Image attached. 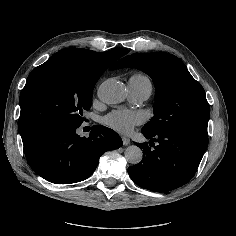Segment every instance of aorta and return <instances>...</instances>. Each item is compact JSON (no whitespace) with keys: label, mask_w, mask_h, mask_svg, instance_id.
<instances>
[{"label":"aorta","mask_w":236,"mask_h":236,"mask_svg":"<svg viewBox=\"0 0 236 236\" xmlns=\"http://www.w3.org/2000/svg\"><path fill=\"white\" fill-rule=\"evenodd\" d=\"M97 94L102 102L116 104L123 100L125 89L122 83L108 79L99 86ZM124 156L126 161L132 165L140 163L143 158L142 150L135 145L128 146Z\"/></svg>","instance_id":"aorta-1"}]
</instances>
